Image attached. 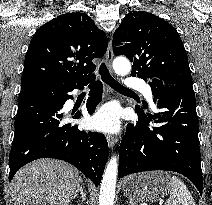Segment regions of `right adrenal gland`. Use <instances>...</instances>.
<instances>
[{"mask_svg": "<svg viewBox=\"0 0 212 205\" xmlns=\"http://www.w3.org/2000/svg\"><path fill=\"white\" fill-rule=\"evenodd\" d=\"M78 192H80L81 202H85V200H86V192L84 190L83 183H82V181L80 179L78 180L77 190L75 192L74 199L78 196Z\"/></svg>", "mask_w": 212, "mask_h": 205, "instance_id": "right-adrenal-gland-1", "label": "right adrenal gland"}]
</instances>
